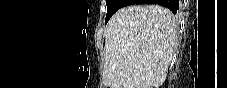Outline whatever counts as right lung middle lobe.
I'll use <instances>...</instances> for the list:
<instances>
[{"instance_id":"right-lung-middle-lobe-1","label":"right lung middle lobe","mask_w":227,"mask_h":88,"mask_svg":"<svg viewBox=\"0 0 227 88\" xmlns=\"http://www.w3.org/2000/svg\"><path fill=\"white\" fill-rule=\"evenodd\" d=\"M129 0H106L107 3V14L105 23L108 22V20L111 18V16L121 7H124L127 5Z\"/></svg>"}]
</instances>
